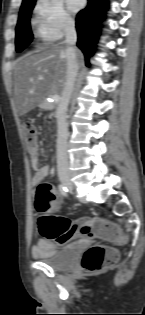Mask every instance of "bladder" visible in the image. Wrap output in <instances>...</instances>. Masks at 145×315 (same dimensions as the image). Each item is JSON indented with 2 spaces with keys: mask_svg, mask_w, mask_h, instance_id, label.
<instances>
[{
  "mask_svg": "<svg viewBox=\"0 0 145 315\" xmlns=\"http://www.w3.org/2000/svg\"><path fill=\"white\" fill-rule=\"evenodd\" d=\"M70 249H79V248H64L55 252L52 256L44 258L43 262L50 268L63 271L71 268L77 256H70Z\"/></svg>",
  "mask_w": 145,
  "mask_h": 315,
  "instance_id": "bladder-1",
  "label": "bladder"
}]
</instances>
